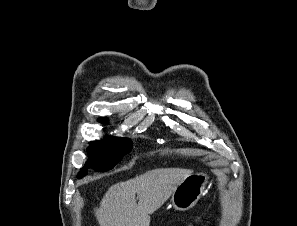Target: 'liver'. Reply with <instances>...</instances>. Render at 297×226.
Segmentation results:
<instances>
[{
    "mask_svg": "<svg viewBox=\"0 0 297 226\" xmlns=\"http://www.w3.org/2000/svg\"><path fill=\"white\" fill-rule=\"evenodd\" d=\"M193 173L190 169L160 168L111 186L95 216L100 226H149L150 215ZM136 194L138 204L136 201Z\"/></svg>",
    "mask_w": 297,
    "mask_h": 226,
    "instance_id": "obj_1",
    "label": "liver"
}]
</instances>
